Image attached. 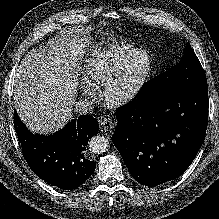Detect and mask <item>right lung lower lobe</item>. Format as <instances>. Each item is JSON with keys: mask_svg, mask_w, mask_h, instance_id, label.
<instances>
[{"mask_svg": "<svg viewBox=\"0 0 219 219\" xmlns=\"http://www.w3.org/2000/svg\"><path fill=\"white\" fill-rule=\"evenodd\" d=\"M14 126L31 170L42 180L63 190H73L94 172L96 162L86 158L88 140L99 125L95 118L80 115L53 135L30 132L14 111Z\"/></svg>", "mask_w": 219, "mask_h": 219, "instance_id": "right-lung-lower-lobe-1", "label": "right lung lower lobe"}]
</instances>
